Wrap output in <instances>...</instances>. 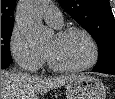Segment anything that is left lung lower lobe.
<instances>
[{
	"label": "left lung lower lobe",
	"mask_w": 115,
	"mask_h": 99,
	"mask_svg": "<svg viewBox=\"0 0 115 99\" xmlns=\"http://www.w3.org/2000/svg\"><path fill=\"white\" fill-rule=\"evenodd\" d=\"M93 71L94 72H100V73L115 75V67H113V68H107V69H104V70L93 69Z\"/></svg>",
	"instance_id": "1"
}]
</instances>
